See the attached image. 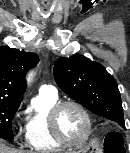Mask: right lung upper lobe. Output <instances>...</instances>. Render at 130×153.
<instances>
[{
  "mask_svg": "<svg viewBox=\"0 0 130 153\" xmlns=\"http://www.w3.org/2000/svg\"><path fill=\"white\" fill-rule=\"evenodd\" d=\"M38 62L39 57L35 53L1 46L0 100L20 103L26 89L25 74Z\"/></svg>",
  "mask_w": 130,
  "mask_h": 153,
  "instance_id": "obj_1",
  "label": "right lung upper lobe"
}]
</instances>
